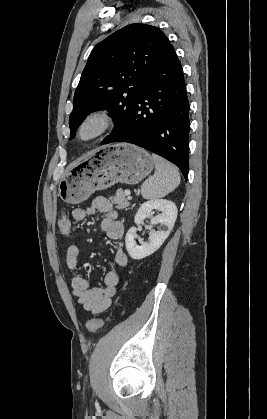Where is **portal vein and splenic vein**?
Returning <instances> with one entry per match:
<instances>
[{
    "label": "portal vein and splenic vein",
    "mask_w": 267,
    "mask_h": 419,
    "mask_svg": "<svg viewBox=\"0 0 267 419\" xmlns=\"http://www.w3.org/2000/svg\"><path fill=\"white\" fill-rule=\"evenodd\" d=\"M125 195H127V196H130V194H131V192H130V190H125Z\"/></svg>",
    "instance_id": "1"
}]
</instances>
